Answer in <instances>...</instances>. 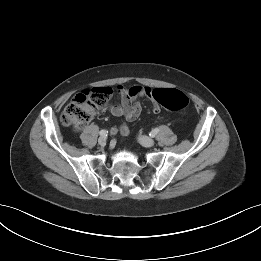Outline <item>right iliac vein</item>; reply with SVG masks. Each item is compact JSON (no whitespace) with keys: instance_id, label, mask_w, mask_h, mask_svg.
Masks as SVG:
<instances>
[{"instance_id":"63e3f726","label":"right iliac vein","mask_w":261,"mask_h":261,"mask_svg":"<svg viewBox=\"0 0 261 261\" xmlns=\"http://www.w3.org/2000/svg\"><path fill=\"white\" fill-rule=\"evenodd\" d=\"M106 138L105 137H100L99 139H98V144L100 145V146H105L106 145Z\"/></svg>"}]
</instances>
